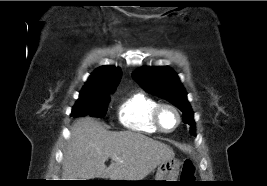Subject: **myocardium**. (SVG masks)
Here are the masks:
<instances>
[{"label":"myocardium","instance_id":"myocardium-1","mask_svg":"<svg viewBox=\"0 0 267 186\" xmlns=\"http://www.w3.org/2000/svg\"><path fill=\"white\" fill-rule=\"evenodd\" d=\"M165 108H169V109L173 110L176 114V117H177V122H176L175 126L170 130L165 129L161 123V113ZM152 121L159 132L171 133V132L175 131L180 126L181 121H182V116H181L179 109L176 106H174L173 104L159 103L153 110Z\"/></svg>","mask_w":267,"mask_h":186}]
</instances>
